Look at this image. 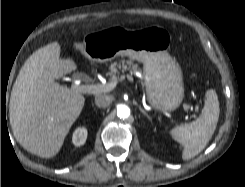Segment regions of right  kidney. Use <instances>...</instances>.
<instances>
[{"instance_id":"ca27d5eb","label":"right kidney","mask_w":245,"mask_h":187,"mask_svg":"<svg viewBox=\"0 0 245 187\" xmlns=\"http://www.w3.org/2000/svg\"><path fill=\"white\" fill-rule=\"evenodd\" d=\"M87 139V129L84 127L77 128L72 136V142L76 147H79L85 143Z\"/></svg>"}]
</instances>
